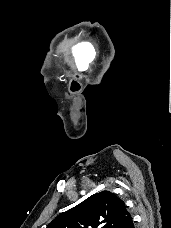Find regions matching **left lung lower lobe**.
Instances as JSON below:
<instances>
[{
	"instance_id": "0a47b994",
	"label": "left lung lower lobe",
	"mask_w": 171,
	"mask_h": 228,
	"mask_svg": "<svg viewBox=\"0 0 171 228\" xmlns=\"http://www.w3.org/2000/svg\"><path fill=\"white\" fill-rule=\"evenodd\" d=\"M122 228H135V227H134V222H133V220H132V217L129 218V219L125 222V224L123 225Z\"/></svg>"
}]
</instances>
